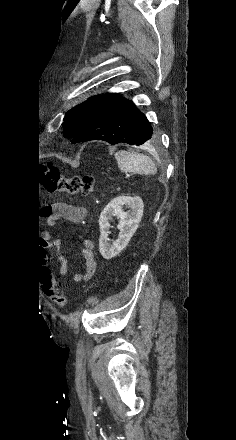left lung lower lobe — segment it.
I'll return each mask as SVG.
<instances>
[{
  "mask_svg": "<svg viewBox=\"0 0 236 440\" xmlns=\"http://www.w3.org/2000/svg\"><path fill=\"white\" fill-rule=\"evenodd\" d=\"M103 140L115 145H148L157 140L146 116L128 99L117 96L93 115L73 137L72 143Z\"/></svg>",
  "mask_w": 236,
  "mask_h": 440,
  "instance_id": "1",
  "label": "left lung lower lobe"
}]
</instances>
